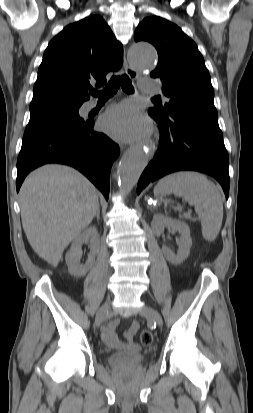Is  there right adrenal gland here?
<instances>
[{"instance_id":"right-adrenal-gland-1","label":"right adrenal gland","mask_w":253,"mask_h":413,"mask_svg":"<svg viewBox=\"0 0 253 413\" xmlns=\"http://www.w3.org/2000/svg\"><path fill=\"white\" fill-rule=\"evenodd\" d=\"M95 217L97 218V220L100 219V207H98V210H97V213H96Z\"/></svg>"}]
</instances>
